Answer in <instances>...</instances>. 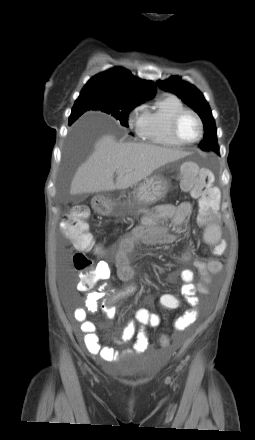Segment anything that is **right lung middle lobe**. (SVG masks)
Listing matches in <instances>:
<instances>
[{"instance_id":"1","label":"right lung middle lobe","mask_w":255,"mask_h":440,"mask_svg":"<svg viewBox=\"0 0 255 440\" xmlns=\"http://www.w3.org/2000/svg\"><path fill=\"white\" fill-rule=\"evenodd\" d=\"M140 103L142 102H122L92 95H80L74 104L71 115H74L77 120L85 111L99 110L115 117L121 125L128 126V114Z\"/></svg>"}]
</instances>
